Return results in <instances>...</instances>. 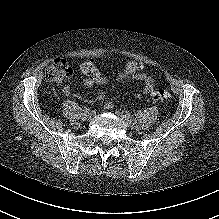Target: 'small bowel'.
I'll return each instance as SVG.
<instances>
[{"label":"small bowel","instance_id":"small-bowel-1","mask_svg":"<svg viewBox=\"0 0 219 219\" xmlns=\"http://www.w3.org/2000/svg\"><path fill=\"white\" fill-rule=\"evenodd\" d=\"M129 65L137 66L138 71L132 74L131 76L120 75V78L127 77V78H132V79L142 81L144 83V94H150L154 89L153 78L146 73L139 72L140 65L137 62H133V61L129 62L126 66H129ZM80 69H81L82 74L84 75L83 82L88 87L94 86L96 84H100L105 81V77L100 73V71L96 68L94 63L91 61H86L82 63ZM62 93L66 96H73L78 99H83L81 96L73 94L71 91V88L68 85L62 88ZM136 97L140 98V94H137ZM103 98H104V94L99 93L95 97L94 101H100ZM112 105L113 104L109 102L106 104L107 107H111Z\"/></svg>","mask_w":219,"mask_h":219}]
</instances>
